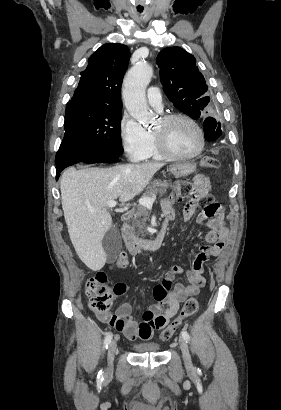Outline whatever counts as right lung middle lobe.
<instances>
[{
    "label": "right lung middle lobe",
    "instance_id": "1",
    "mask_svg": "<svg viewBox=\"0 0 281 410\" xmlns=\"http://www.w3.org/2000/svg\"><path fill=\"white\" fill-rule=\"evenodd\" d=\"M121 109L69 105L65 111V134L55 164L78 154H122Z\"/></svg>",
    "mask_w": 281,
    "mask_h": 410
}]
</instances>
